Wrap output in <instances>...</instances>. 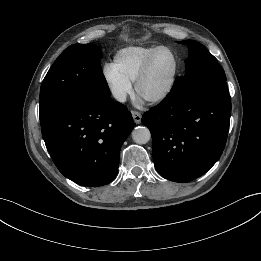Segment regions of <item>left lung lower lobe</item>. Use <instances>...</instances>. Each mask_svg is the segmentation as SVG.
Wrapping results in <instances>:
<instances>
[{"mask_svg": "<svg viewBox=\"0 0 261 261\" xmlns=\"http://www.w3.org/2000/svg\"><path fill=\"white\" fill-rule=\"evenodd\" d=\"M231 99L226 82L203 86L184 100L170 94L147 111L158 173L171 181L189 182L220 158L227 140Z\"/></svg>", "mask_w": 261, "mask_h": 261, "instance_id": "left-lung-lower-lobe-1", "label": "left lung lower lobe"}]
</instances>
